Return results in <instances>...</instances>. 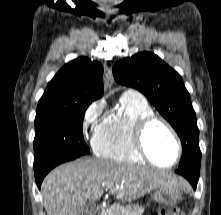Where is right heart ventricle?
<instances>
[{"mask_svg": "<svg viewBox=\"0 0 221 215\" xmlns=\"http://www.w3.org/2000/svg\"><path fill=\"white\" fill-rule=\"evenodd\" d=\"M150 114L153 110L143 96L123 94L118 106L106 114L94 135L95 153L117 162L145 163L133 146L132 130L139 119Z\"/></svg>", "mask_w": 221, "mask_h": 215, "instance_id": "1", "label": "right heart ventricle"}]
</instances>
